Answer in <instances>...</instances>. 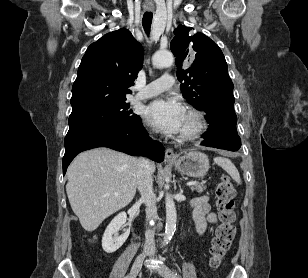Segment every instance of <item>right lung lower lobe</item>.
Listing matches in <instances>:
<instances>
[{
	"label": "right lung lower lobe",
	"mask_w": 308,
	"mask_h": 278,
	"mask_svg": "<svg viewBox=\"0 0 308 278\" xmlns=\"http://www.w3.org/2000/svg\"><path fill=\"white\" fill-rule=\"evenodd\" d=\"M63 175L73 158L80 152L96 147H109L133 156L164 160L161 143L150 140L142 121L133 125L85 123L70 126L64 141Z\"/></svg>",
	"instance_id": "1"
}]
</instances>
